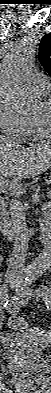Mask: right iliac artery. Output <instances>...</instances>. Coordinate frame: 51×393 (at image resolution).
<instances>
[{
  "mask_svg": "<svg viewBox=\"0 0 51 393\" xmlns=\"http://www.w3.org/2000/svg\"><path fill=\"white\" fill-rule=\"evenodd\" d=\"M8 288L6 284H3L0 288V300L3 308L8 307Z\"/></svg>",
  "mask_w": 51,
  "mask_h": 393,
  "instance_id": "1",
  "label": "right iliac artery"
}]
</instances>
